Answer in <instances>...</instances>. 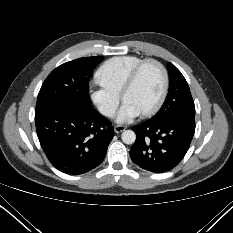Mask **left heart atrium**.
Segmentation results:
<instances>
[{
    "instance_id": "left-heart-atrium-1",
    "label": "left heart atrium",
    "mask_w": 233,
    "mask_h": 233,
    "mask_svg": "<svg viewBox=\"0 0 233 233\" xmlns=\"http://www.w3.org/2000/svg\"><path fill=\"white\" fill-rule=\"evenodd\" d=\"M139 115H140V111L138 109H136L130 103L124 101L117 115V121L120 123H126L136 118Z\"/></svg>"
}]
</instances>
